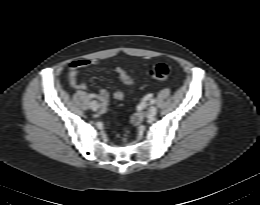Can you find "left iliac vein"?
<instances>
[{
    "mask_svg": "<svg viewBox=\"0 0 260 205\" xmlns=\"http://www.w3.org/2000/svg\"><path fill=\"white\" fill-rule=\"evenodd\" d=\"M157 113V108L155 106H150L148 111H147V116L148 117H154Z\"/></svg>",
    "mask_w": 260,
    "mask_h": 205,
    "instance_id": "obj_1",
    "label": "left iliac vein"
}]
</instances>
